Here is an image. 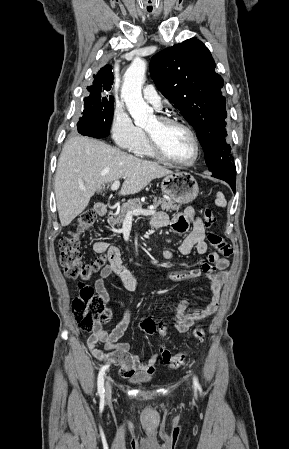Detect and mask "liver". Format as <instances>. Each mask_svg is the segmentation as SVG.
<instances>
[{"instance_id": "6515ba94", "label": "liver", "mask_w": 289, "mask_h": 449, "mask_svg": "<svg viewBox=\"0 0 289 449\" xmlns=\"http://www.w3.org/2000/svg\"><path fill=\"white\" fill-rule=\"evenodd\" d=\"M171 170L89 137L75 136L64 145L55 174V196L62 226L69 225L105 184L124 178L119 195L140 192ZM82 187L85 190H82Z\"/></svg>"}]
</instances>
